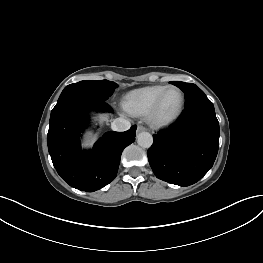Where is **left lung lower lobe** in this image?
Returning <instances> with one entry per match:
<instances>
[{
  "label": "left lung lower lobe",
  "instance_id": "1",
  "mask_svg": "<svg viewBox=\"0 0 263 263\" xmlns=\"http://www.w3.org/2000/svg\"><path fill=\"white\" fill-rule=\"evenodd\" d=\"M219 123L209 99L186 106L179 121L153 135L147 156L155 176L189 186L213 166L219 147Z\"/></svg>",
  "mask_w": 263,
  "mask_h": 263
}]
</instances>
